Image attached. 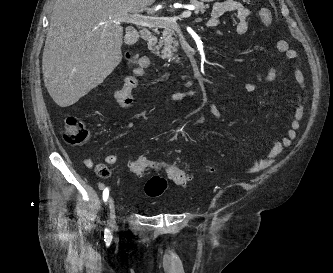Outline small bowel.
Segmentation results:
<instances>
[{"instance_id": "c3829d8e", "label": "small bowel", "mask_w": 333, "mask_h": 273, "mask_svg": "<svg viewBox=\"0 0 333 273\" xmlns=\"http://www.w3.org/2000/svg\"><path fill=\"white\" fill-rule=\"evenodd\" d=\"M226 13H234L236 15L237 21L234 26V31L237 35H246L249 32L248 20L253 16V11L245 7L239 0H221L219 2H216L212 8L211 18L208 22V26H218L221 17ZM277 49L289 59H296L298 57L297 51L290 48L289 43L285 40H279L277 42ZM143 59L148 60V58L146 57H143ZM146 69H150V62H136L133 70H131L130 72L131 76L126 77L124 84L120 85V88H118L115 93V99L120 107L128 108L132 105L133 98L131 93L132 91L138 90L136 77H142ZM292 71L293 78L299 88L296 91V106L292 115V119L290 121L289 128L284 137H282L281 139H276L274 141L272 148L265 154L264 157L256 160L254 166L251 168V170L253 171L264 169L270 166L276 161L279 156L283 154L285 149L289 147L295 140L296 131L299 129L301 120L304 118V75L302 70L297 65L293 66ZM277 73L278 72L275 67L268 69L266 72H258L255 70L250 71L252 77L260 83H267L273 81L276 78ZM240 86L246 92L259 91V87L252 82L245 81L242 82ZM198 93L199 92L196 89H186L170 93L167 99L171 102H180L195 97L198 95ZM208 109L211 115L216 120H221L222 115L215 102H209ZM138 159L146 158L141 157ZM116 161L117 156L113 153L108 154L104 159V163L106 165H113ZM83 163L87 167H91L93 165V161L90 158H84Z\"/></svg>"}]
</instances>
